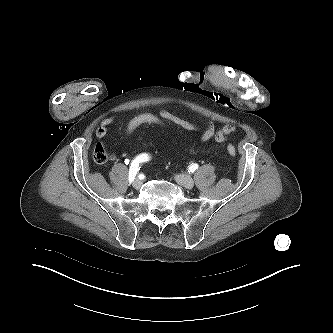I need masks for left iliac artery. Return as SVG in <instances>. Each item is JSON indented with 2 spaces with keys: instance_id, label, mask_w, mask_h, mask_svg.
<instances>
[{
  "instance_id": "obj_1",
  "label": "left iliac artery",
  "mask_w": 333,
  "mask_h": 333,
  "mask_svg": "<svg viewBox=\"0 0 333 333\" xmlns=\"http://www.w3.org/2000/svg\"><path fill=\"white\" fill-rule=\"evenodd\" d=\"M198 164H196V163H194V164H192L190 167H189V169H190V171L191 172H193V171H195L196 169H198Z\"/></svg>"
}]
</instances>
